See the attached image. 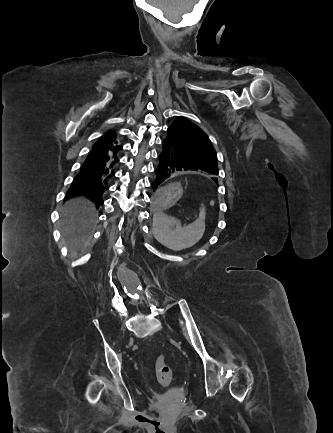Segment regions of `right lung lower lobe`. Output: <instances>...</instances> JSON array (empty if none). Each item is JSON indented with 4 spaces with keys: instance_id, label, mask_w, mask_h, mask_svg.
Here are the masks:
<instances>
[{
    "instance_id": "obj_1",
    "label": "right lung lower lobe",
    "mask_w": 333,
    "mask_h": 433,
    "mask_svg": "<svg viewBox=\"0 0 333 433\" xmlns=\"http://www.w3.org/2000/svg\"><path fill=\"white\" fill-rule=\"evenodd\" d=\"M122 148L119 144L110 146L97 141L72 182L67 197L83 194L95 202L97 207L102 205V195L109 189L110 179L115 175L114 169Z\"/></svg>"
}]
</instances>
